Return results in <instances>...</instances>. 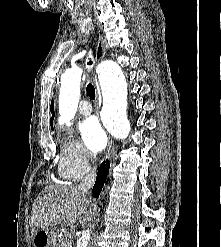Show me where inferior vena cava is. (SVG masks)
I'll return each instance as SVG.
<instances>
[{"label":"inferior vena cava","instance_id":"inferior-vena-cava-1","mask_svg":"<svg viewBox=\"0 0 221 247\" xmlns=\"http://www.w3.org/2000/svg\"><path fill=\"white\" fill-rule=\"evenodd\" d=\"M95 178H96V173L95 170L92 169L88 174H86L82 182L78 185V189L83 193L87 194V192L94 185Z\"/></svg>","mask_w":221,"mask_h":247}]
</instances>
